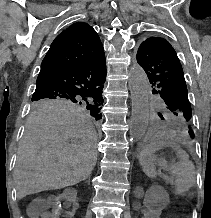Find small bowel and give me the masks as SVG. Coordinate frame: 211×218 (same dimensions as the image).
<instances>
[{
    "mask_svg": "<svg viewBox=\"0 0 211 218\" xmlns=\"http://www.w3.org/2000/svg\"><path fill=\"white\" fill-rule=\"evenodd\" d=\"M67 216L68 214L58 207L52 208L43 213V218H64ZM160 216V209L152 207L145 210L142 218H159Z\"/></svg>",
    "mask_w": 211,
    "mask_h": 218,
    "instance_id": "obj_1",
    "label": "small bowel"
}]
</instances>
